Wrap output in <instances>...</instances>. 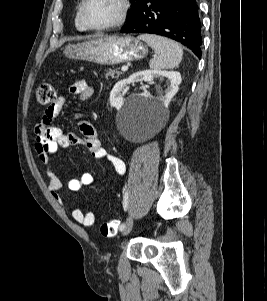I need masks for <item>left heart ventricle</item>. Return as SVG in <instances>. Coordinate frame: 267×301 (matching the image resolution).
I'll list each match as a JSON object with an SVG mask.
<instances>
[{"instance_id":"obj_1","label":"left heart ventricle","mask_w":267,"mask_h":301,"mask_svg":"<svg viewBox=\"0 0 267 301\" xmlns=\"http://www.w3.org/2000/svg\"><path fill=\"white\" fill-rule=\"evenodd\" d=\"M119 9V0H88L85 16L91 25H104L117 17Z\"/></svg>"}]
</instances>
